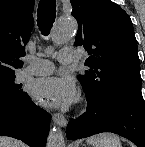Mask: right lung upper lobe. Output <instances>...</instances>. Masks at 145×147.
Returning <instances> with one entry per match:
<instances>
[{
  "label": "right lung upper lobe",
  "instance_id": "1",
  "mask_svg": "<svg viewBox=\"0 0 145 147\" xmlns=\"http://www.w3.org/2000/svg\"><path fill=\"white\" fill-rule=\"evenodd\" d=\"M33 0H0V75L15 74L33 28Z\"/></svg>",
  "mask_w": 145,
  "mask_h": 147
}]
</instances>
